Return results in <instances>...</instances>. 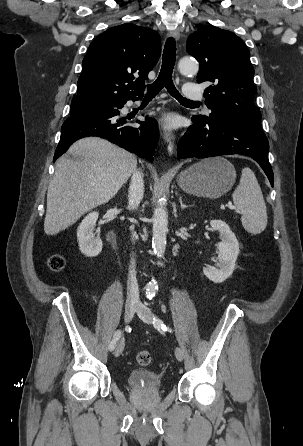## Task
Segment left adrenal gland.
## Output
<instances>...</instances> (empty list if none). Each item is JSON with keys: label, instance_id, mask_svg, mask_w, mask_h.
I'll list each match as a JSON object with an SVG mask.
<instances>
[{"label": "left adrenal gland", "instance_id": "a2214340", "mask_svg": "<svg viewBox=\"0 0 303 446\" xmlns=\"http://www.w3.org/2000/svg\"><path fill=\"white\" fill-rule=\"evenodd\" d=\"M179 202H180L181 209H185V208L191 207V205L183 204L181 196L179 197Z\"/></svg>", "mask_w": 303, "mask_h": 446}]
</instances>
